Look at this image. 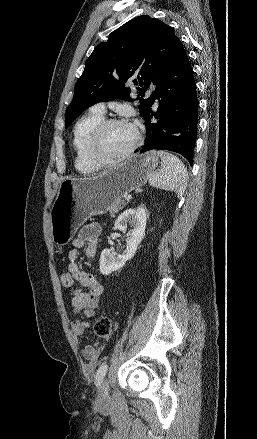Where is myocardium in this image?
<instances>
[{
    "label": "myocardium",
    "instance_id": "f54148a6",
    "mask_svg": "<svg viewBox=\"0 0 257 439\" xmlns=\"http://www.w3.org/2000/svg\"><path fill=\"white\" fill-rule=\"evenodd\" d=\"M114 125H129V126L133 127V129L135 131V139L132 142V144L126 150H124L122 153H120L119 155H117L114 158L105 159L99 154L98 146H99V143H100L101 138H102L103 134L105 133V131L109 127L114 126ZM141 142H142L141 131L133 122L126 120V119L109 118V119L102 120L92 130V132L90 133L88 140H87L86 150H87V154H88L90 160L97 167L108 166L111 164L121 162V161L125 160L126 158H128L139 147Z\"/></svg>",
    "mask_w": 257,
    "mask_h": 439
}]
</instances>
